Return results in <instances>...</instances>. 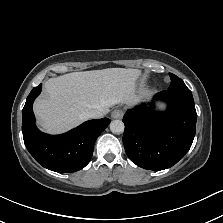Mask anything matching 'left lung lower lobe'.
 Returning a JSON list of instances; mask_svg holds the SVG:
<instances>
[{
  "mask_svg": "<svg viewBox=\"0 0 223 223\" xmlns=\"http://www.w3.org/2000/svg\"><path fill=\"white\" fill-rule=\"evenodd\" d=\"M154 99L165 101L167 110L157 113L153 104L128 110L123 118V143L133 163L158 171L173 166L188 152L197 114L191 91L168 89Z\"/></svg>",
  "mask_w": 223,
  "mask_h": 223,
  "instance_id": "left-lung-lower-lobe-1",
  "label": "left lung lower lobe"
}]
</instances>
